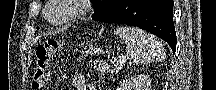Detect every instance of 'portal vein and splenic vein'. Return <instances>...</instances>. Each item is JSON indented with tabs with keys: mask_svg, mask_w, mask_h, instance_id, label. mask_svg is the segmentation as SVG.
Here are the masks:
<instances>
[{
	"mask_svg": "<svg viewBox=\"0 0 216 90\" xmlns=\"http://www.w3.org/2000/svg\"><path fill=\"white\" fill-rule=\"evenodd\" d=\"M124 62H117L114 66H123ZM116 70H120V68H116Z\"/></svg>",
	"mask_w": 216,
	"mask_h": 90,
	"instance_id": "18ae733b",
	"label": "portal vein and splenic vein"
}]
</instances>
